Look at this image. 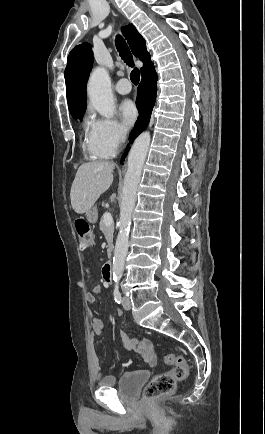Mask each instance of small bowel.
I'll use <instances>...</instances> for the list:
<instances>
[{
  "mask_svg": "<svg viewBox=\"0 0 265 434\" xmlns=\"http://www.w3.org/2000/svg\"><path fill=\"white\" fill-rule=\"evenodd\" d=\"M102 287L100 285H95L91 291H89L86 296V302L89 305L95 303L96 295L100 294ZM118 317H123L122 308L119 306L117 308ZM103 320L97 317H93L91 320L92 334L95 336H100L103 332ZM121 340L125 347L129 350L135 351L145 357L150 364L155 363V353L152 341L147 337H140L136 333L132 337H128L126 334L121 335ZM93 372L97 379L100 380L101 387H111L113 385V380L111 378H102L103 372L100 366V361L97 355L93 357Z\"/></svg>",
  "mask_w": 265,
  "mask_h": 434,
  "instance_id": "1",
  "label": "small bowel"
}]
</instances>
